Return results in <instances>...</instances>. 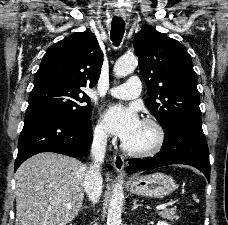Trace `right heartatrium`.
I'll list each match as a JSON object with an SVG mask.
<instances>
[{
    "label": "right heart atrium",
    "mask_w": 228,
    "mask_h": 225,
    "mask_svg": "<svg viewBox=\"0 0 228 225\" xmlns=\"http://www.w3.org/2000/svg\"><path fill=\"white\" fill-rule=\"evenodd\" d=\"M94 138L101 143H105L109 138L108 130L101 120H98L95 128H94Z\"/></svg>",
    "instance_id": "d8ad5b80"
}]
</instances>
